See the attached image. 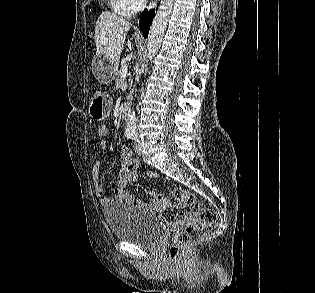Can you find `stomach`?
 <instances>
[{
	"label": "stomach",
	"instance_id": "stomach-1",
	"mask_svg": "<svg viewBox=\"0 0 315 293\" xmlns=\"http://www.w3.org/2000/svg\"><path fill=\"white\" fill-rule=\"evenodd\" d=\"M112 106V98L97 91L93 94L89 104V115L95 120H104L110 113Z\"/></svg>",
	"mask_w": 315,
	"mask_h": 293
}]
</instances>
